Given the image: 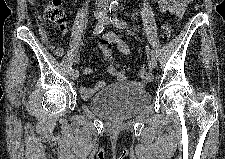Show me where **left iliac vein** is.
<instances>
[{
    "label": "left iliac vein",
    "instance_id": "obj_1",
    "mask_svg": "<svg viewBox=\"0 0 225 159\" xmlns=\"http://www.w3.org/2000/svg\"><path fill=\"white\" fill-rule=\"evenodd\" d=\"M102 20H103V23H104L105 25L113 24L112 21L109 20V18H108L107 16H105ZM113 25H114V24H113ZM114 26H115L116 28H118V29H123V28H125V26H122V25H119V26L114 25ZM149 66H150L152 69L156 68V66H157V59H156L155 56H152V55H151V58H150V60H149Z\"/></svg>",
    "mask_w": 225,
    "mask_h": 159
}]
</instances>
